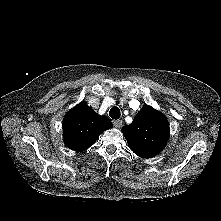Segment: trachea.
I'll return each instance as SVG.
<instances>
[{"mask_svg": "<svg viewBox=\"0 0 221 221\" xmlns=\"http://www.w3.org/2000/svg\"><path fill=\"white\" fill-rule=\"evenodd\" d=\"M109 116L115 120L119 119L121 116L120 109L118 107L111 108L109 111Z\"/></svg>", "mask_w": 221, "mask_h": 221, "instance_id": "trachea-1", "label": "trachea"}]
</instances>
